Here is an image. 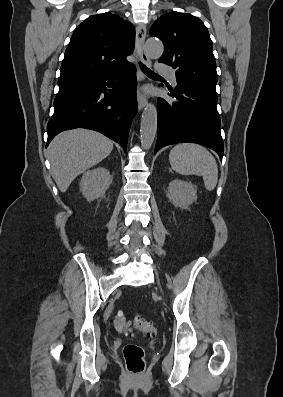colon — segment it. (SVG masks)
I'll return each instance as SVG.
<instances>
[{"instance_id":"1","label":"colon","mask_w":283,"mask_h":397,"mask_svg":"<svg viewBox=\"0 0 283 397\" xmlns=\"http://www.w3.org/2000/svg\"><path fill=\"white\" fill-rule=\"evenodd\" d=\"M113 325L118 332L127 333L131 327L140 331L144 336L150 337L155 333V324L151 320H146L140 316L132 321L128 320L121 310L114 314ZM123 356L128 372L133 376L141 375L145 370L144 349L133 343L125 345Z\"/></svg>"}]
</instances>
